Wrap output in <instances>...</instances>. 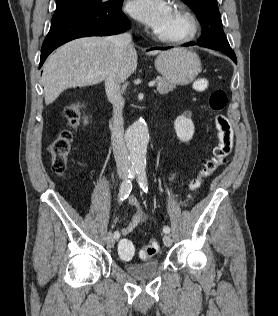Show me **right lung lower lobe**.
<instances>
[{
	"label": "right lung lower lobe",
	"instance_id": "obj_1",
	"mask_svg": "<svg viewBox=\"0 0 278 316\" xmlns=\"http://www.w3.org/2000/svg\"><path fill=\"white\" fill-rule=\"evenodd\" d=\"M122 4L123 0H113L101 6L54 14L42 45L39 68L54 49L68 41L123 32L130 23L121 11Z\"/></svg>",
	"mask_w": 278,
	"mask_h": 316
}]
</instances>
